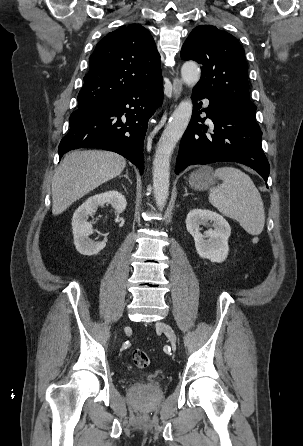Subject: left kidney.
Returning a JSON list of instances; mask_svg holds the SVG:
<instances>
[{"instance_id":"obj_1","label":"left kidney","mask_w":303,"mask_h":446,"mask_svg":"<svg viewBox=\"0 0 303 446\" xmlns=\"http://www.w3.org/2000/svg\"><path fill=\"white\" fill-rule=\"evenodd\" d=\"M213 222V228L204 234L200 232V225ZM187 231L193 236L195 247L201 258L211 262H223L229 252L228 238L231 234L229 223L220 214L207 209H193L186 218Z\"/></svg>"}]
</instances>
